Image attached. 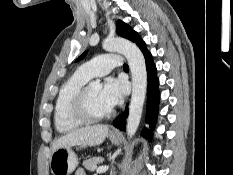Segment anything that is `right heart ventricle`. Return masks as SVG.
<instances>
[{
  "label": "right heart ventricle",
  "instance_id": "e07e8e85",
  "mask_svg": "<svg viewBox=\"0 0 233 175\" xmlns=\"http://www.w3.org/2000/svg\"><path fill=\"white\" fill-rule=\"evenodd\" d=\"M87 81V79L74 74L61 86L54 108V124L58 132L69 133L84 125V122L72 116L70 106L76 93L84 87Z\"/></svg>",
  "mask_w": 233,
  "mask_h": 175
}]
</instances>
